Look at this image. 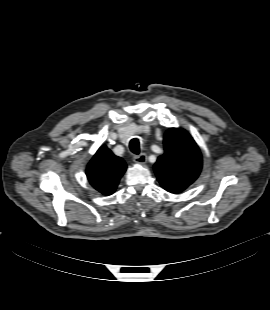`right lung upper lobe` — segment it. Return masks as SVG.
<instances>
[{
	"label": "right lung upper lobe",
	"instance_id": "obj_1",
	"mask_svg": "<svg viewBox=\"0 0 270 310\" xmlns=\"http://www.w3.org/2000/svg\"><path fill=\"white\" fill-rule=\"evenodd\" d=\"M126 163L102 145L86 168L90 184L104 195L112 194L122 175L126 171Z\"/></svg>",
	"mask_w": 270,
	"mask_h": 310
}]
</instances>
